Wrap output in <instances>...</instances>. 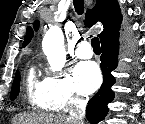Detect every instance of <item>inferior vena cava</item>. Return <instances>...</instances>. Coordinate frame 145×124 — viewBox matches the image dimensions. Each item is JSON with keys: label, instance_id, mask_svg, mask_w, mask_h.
I'll use <instances>...</instances> for the list:
<instances>
[{"label": "inferior vena cava", "instance_id": "inferior-vena-cava-1", "mask_svg": "<svg viewBox=\"0 0 145 124\" xmlns=\"http://www.w3.org/2000/svg\"><path fill=\"white\" fill-rule=\"evenodd\" d=\"M87 105V100H79L75 103V109L70 115V119L75 124H84V114H85V108Z\"/></svg>", "mask_w": 145, "mask_h": 124}]
</instances>
